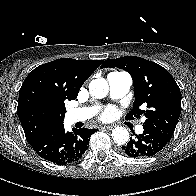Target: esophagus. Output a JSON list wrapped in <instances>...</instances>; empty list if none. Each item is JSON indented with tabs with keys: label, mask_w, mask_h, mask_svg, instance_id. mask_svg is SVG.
<instances>
[{
	"label": "esophagus",
	"mask_w": 196,
	"mask_h": 196,
	"mask_svg": "<svg viewBox=\"0 0 196 196\" xmlns=\"http://www.w3.org/2000/svg\"><path fill=\"white\" fill-rule=\"evenodd\" d=\"M113 127H114L113 125H107V126H103L102 128L106 130H111Z\"/></svg>",
	"instance_id": "obj_1"
}]
</instances>
